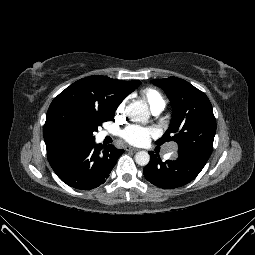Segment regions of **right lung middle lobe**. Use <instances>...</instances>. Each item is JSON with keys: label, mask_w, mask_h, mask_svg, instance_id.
<instances>
[{"label": "right lung middle lobe", "mask_w": 255, "mask_h": 255, "mask_svg": "<svg viewBox=\"0 0 255 255\" xmlns=\"http://www.w3.org/2000/svg\"><path fill=\"white\" fill-rule=\"evenodd\" d=\"M140 82L137 83V86ZM114 113H98L93 112L87 115L81 125V141H94L95 137L93 132L97 131L98 126H101L103 122L112 121Z\"/></svg>", "instance_id": "1"}]
</instances>
